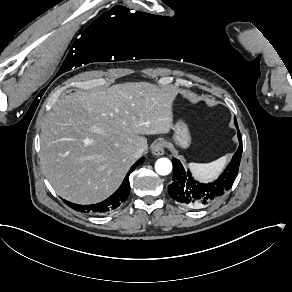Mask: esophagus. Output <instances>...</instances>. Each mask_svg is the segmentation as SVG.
<instances>
[{"mask_svg": "<svg viewBox=\"0 0 292 292\" xmlns=\"http://www.w3.org/2000/svg\"><path fill=\"white\" fill-rule=\"evenodd\" d=\"M151 152L155 156H161L165 152V143L163 140H158L151 149Z\"/></svg>", "mask_w": 292, "mask_h": 292, "instance_id": "34e87169", "label": "esophagus"}]
</instances>
